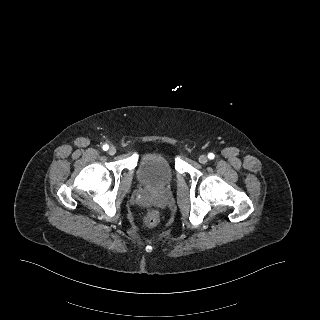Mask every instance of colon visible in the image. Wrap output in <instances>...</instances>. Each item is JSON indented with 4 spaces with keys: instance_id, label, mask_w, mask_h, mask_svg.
<instances>
[{
    "instance_id": "5ec220e1",
    "label": "colon",
    "mask_w": 320,
    "mask_h": 320,
    "mask_svg": "<svg viewBox=\"0 0 320 320\" xmlns=\"http://www.w3.org/2000/svg\"><path fill=\"white\" fill-rule=\"evenodd\" d=\"M160 216L157 210H149L143 217V223L152 227L155 226L159 222Z\"/></svg>"
}]
</instances>
